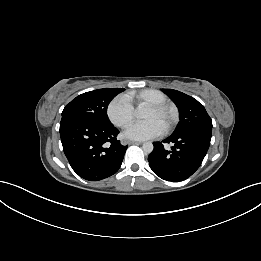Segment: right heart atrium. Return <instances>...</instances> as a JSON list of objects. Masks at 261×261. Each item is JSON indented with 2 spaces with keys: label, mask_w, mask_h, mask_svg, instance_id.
<instances>
[{
  "label": "right heart atrium",
  "mask_w": 261,
  "mask_h": 261,
  "mask_svg": "<svg viewBox=\"0 0 261 261\" xmlns=\"http://www.w3.org/2000/svg\"><path fill=\"white\" fill-rule=\"evenodd\" d=\"M107 116L113 125L125 128L134 118V108L126 96L119 95L108 104Z\"/></svg>",
  "instance_id": "right-heart-atrium-1"
}]
</instances>
